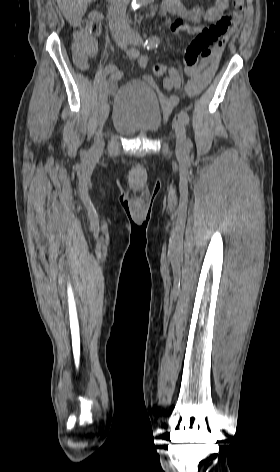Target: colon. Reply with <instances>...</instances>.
Returning <instances> with one entry per match:
<instances>
[{"instance_id": "5ec220e1", "label": "colon", "mask_w": 280, "mask_h": 472, "mask_svg": "<svg viewBox=\"0 0 280 472\" xmlns=\"http://www.w3.org/2000/svg\"><path fill=\"white\" fill-rule=\"evenodd\" d=\"M243 10L244 0H233L231 14L223 15L215 23L204 28L189 42L184 55L185 64L195 66L199 58L209 57L215 48L222 44V39L227 34L230 26L241 22ZM81 29L82 32L88 35H97L100 31L98 23L93 20L85 22ZM74 62L78 67L85 65V61L81 57H75ZM167 72L168 69L165 65L156 64L153 67V74L156 77H162Z\"/></svg>"}]
</instances>
